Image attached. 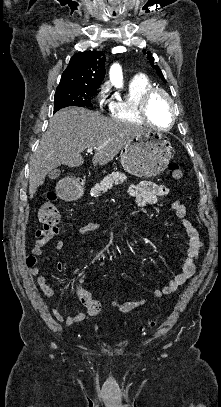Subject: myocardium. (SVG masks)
<instances>
[{
  "mask_svg": "<svg viewBox=\"0 0 221 407\" xmlns=\"http://www.w3.org/2000/svg\"><path fill=\"white\" fill-rule=\"evenodd\" d=\"M158 95H161V96L166 98V100H167V102H168V104L170 106V109H171V121H170V124L167 127H165V128H157V129L159 131H168L174 126L176 117H175V114H174V108H175L174 100L166 90H164L162 88H156V87L149 89L143 95V97L141 99V102H140L139 107H138V112H139L140 117L143 119V121H145V122H147V123H149L151 125H154L153 121H152V119L150 117L149 106H150L152 100Z\"/></svg>",
  "mask_w": 221,
  "mask_h": 407,
  "instance_id": "f54148a6",
  "label": "myocardium"
}]
</instances>
